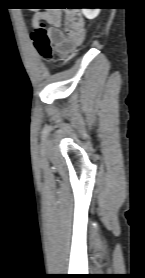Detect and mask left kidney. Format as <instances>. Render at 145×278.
<instances>
[{"instance_id": "5707ae66", "label": "left kidney", "mask_w": 145, "mask_h": 278, "mask_svg": "<svg viewBox=\"0 0 145 278\" xmlns=\"http://www.w3.org/2000/svg\"><path fill=\"white\" fill-rule=\"evenodd\" d=\"M82 13L88 19L96 18L100 13V8H82Z\"/></svg>"}]
</instances>
